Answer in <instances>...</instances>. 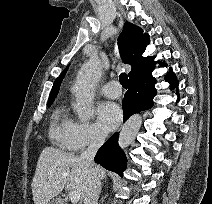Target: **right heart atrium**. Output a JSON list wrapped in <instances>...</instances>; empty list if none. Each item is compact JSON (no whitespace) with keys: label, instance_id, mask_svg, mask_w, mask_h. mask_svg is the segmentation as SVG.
I'll return each mask as SVG.
<instances>
[{"label":"right heart atrium","instance_id":"obj_1","mask_svg":"<svg viewBox=\"0 0 212 204\" xmlns=\"http://www.w3.org/2000/svg\"><path fill=\"white\" fill-rule=\"evenodd\" d=\"M104 139L105 132L96 123L76 122L71 138V150L83 151L87 147L100 144Z\"/></svg>","mask_w":212,"mask_h":204}]
</instances>
